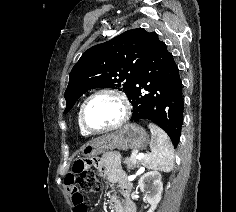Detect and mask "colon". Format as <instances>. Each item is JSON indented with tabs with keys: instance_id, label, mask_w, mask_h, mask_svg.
<instances>
[{
	"instance_id": "1",
	"label": "colon",
	"mask_w": 236,
	"mask_h": 212,
	"mask_svg": "<svg viewBox=\"0 0 236 212\" xmlns=\"http://www.w3.org/2000/svg\"><path fill=\"white\" fill-rule=\"evenodd\" d=\"M74 169L78 175V187L82 191L95 192L99 189V182L92 161H78Z\"/></svg>"
}]
</instances>
